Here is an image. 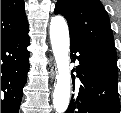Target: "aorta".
<instances>
[{
  "mask_svg": "<svg viewBox=\"0 0 121 113\" xmlns=\"http://www.w3.org/2000/svg\"><path fill=\"white\" fill-rule=\"evenodd\" d=\"M52 51L57 64L58 74L53 93V105L57 113H64L70 99L69 70V30L62 16H55L50 23Z\"/></svg>",
  "mask_w": 121,
  "mask_h": 113,
  "instance_id": "obj_1",
  "label": "aorta"
}]
</instances>
